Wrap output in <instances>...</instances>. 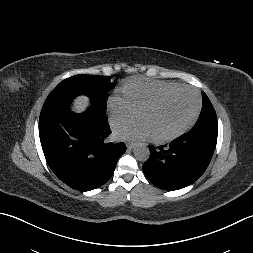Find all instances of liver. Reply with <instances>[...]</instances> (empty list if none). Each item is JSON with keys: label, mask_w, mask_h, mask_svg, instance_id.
<instances>
[{"label": "liver", "mask_w": 253, "mask_h": 253, "mask_svg": "<svg viewBox=\"0 0 253 253\" xmlns=\"http://www.w3.org/2000/svg\"><path fill=\"white\" fill-rule=\"evenodd\" d=\"M89 105V99L85 96H80L73 101V109L76 112H82Z\"/></svg>", "instance_id": "1"}]
</instances>
